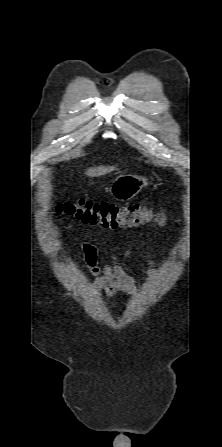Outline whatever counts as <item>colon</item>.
<instances>
[{
    "label": "colon",
    "mask_w": 222,
    "mask_h": 447,
    "mask_svg": "<svg viewBox=\"0 0 222 447\" xmlns=\"http://www.w3.org/2000/svg\"><path fill=\"white\" fill-rule=\"evenodd\" d=\"M59 211L73 216L84 224L117 229L136 227L149 222L163 225L167 217L152 208L138 203L119 206L114 203L79 199L59 206Z\"/></svg>",
    "instance_id": "1"
}]
</instances>
